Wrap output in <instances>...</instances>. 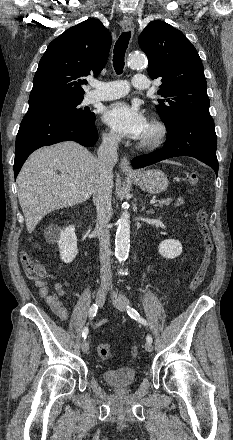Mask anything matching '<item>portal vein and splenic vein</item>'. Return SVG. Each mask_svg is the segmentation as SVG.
I'll list each match as a JSON object with an SVG mask.
<instances>
[{"mask_svg": "<svg viewBox=\"0 0 233 440\" xmlns=\"http://www.w3.org/2000/svg\"><path fill=\"white\" fill-rule=\"evenodd\" d=\"M150 203L154 204V203H156V200H151Z\"/></svg>", "mask_w": 233, "mask_h": 440, "instance_id": "obj_1", "label": "portal vein and splenic vein"}]
</instances>
